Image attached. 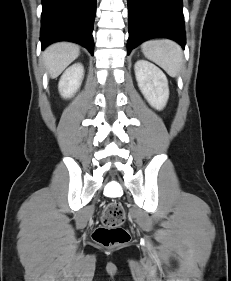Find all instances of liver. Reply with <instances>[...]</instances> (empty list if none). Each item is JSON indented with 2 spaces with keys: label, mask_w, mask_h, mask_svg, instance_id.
Returning <instances> with one entry per match:
<instances>
[{
  "label": "liver",
  "mask_w": 231,
  "mask_h": 281,
  "mask_svg": "<svg viewBox=\"0 0 231 281\" xmlns=\"http://www.w3.org/2000/svg\"><path fill=\"white\" fill-rule=\"evenodd\" d=\"M79 56V47L69 42L50 45L43 52V60L50 77H58Z\"/></svg>",
  "instance_id": "liver-1"
}]
</instances>
